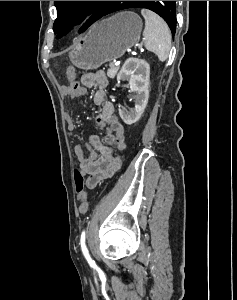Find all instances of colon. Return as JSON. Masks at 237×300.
<instances>
[{
  "instance_id": "obj_1",
  "label": "colon",
  "mask_w": 237,
  "mask_h": 300,
  "mask_svg": "<svg viewBox=\"0 0 237 300\" xmlns=\"http://www.w3.org/2000/svg\"><path fill=\"white\" fill-rule=\"evenodd\" d=\"M73 72H74V69L69 68L68 74H71ZM71 85L75 90L80 91L82 89V85L79 84L77 81L71 82ZM74 180H75V187H76L78 199L80 201H86L87 195H86V192L84 191L85 178H84L83 173L79 169H76L74 171Z\"/></svg>"
}]
</instances>
